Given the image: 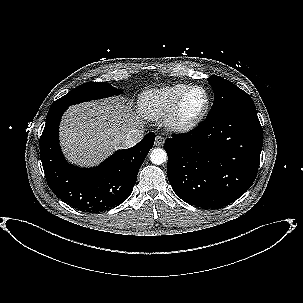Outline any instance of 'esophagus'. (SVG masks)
I'll return each mask as SVG.
<instances>
[{
	"instance_id": "1",
	"label": "esophagus",
	"mask_w": 303,
	"mask_h": 303,
	"mask_svg": "<svg viewBox=\"0 0 303 303\" xmlns=\"http://www.w3.org/2000/svg\"><path fill=\"white\" fill-rule=\"evenodd\" d=\"M164 138L162 136H156L155 138V146H163L164 144Z\"/></svg>"
}]
</instances>
